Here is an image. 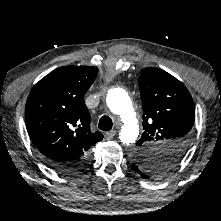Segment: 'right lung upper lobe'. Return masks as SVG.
<instances>
[{"mask_svg":"<svg viewBox=\"0 0 221 221\" xmlns=\"http://www.w3.org/2000/svg\"><path fill=\"white\" fill-rule=\"evenodd\" d=\"M98 73L96 67H60L31 90L25 106L29 136L53 162H77L90 156V148L103 139L90 131V114L84 95Z\"/></svg>","mask_w":221,"mask_h":221,"instance_id":"1","label":"right lung upper lobe"}]
</instances>
